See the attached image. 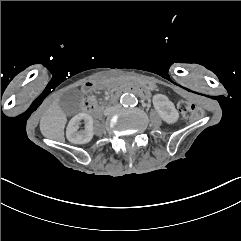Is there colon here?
<instances>
[{
    "label": "colon",
    "instance_id": "1",
    "mask_svg": "<svg viewBox=\"0 0 241 241\" xmlns=\"http://www.w3.org/2000/svg\"><path fill=\"white\" fill-rule=\"evenodd\" d=\"M178 109L186 119L201 118L203 116V109L189 102H180Z\"/></svg>",
    "mask_w": 241,
    "mask_h": 241
}]
</instances>
